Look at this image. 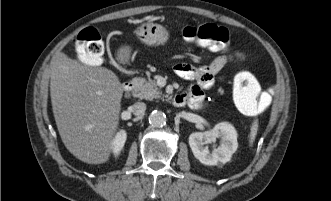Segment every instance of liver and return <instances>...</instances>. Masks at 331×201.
<instances>
[{"label":"liver","instance_id":"liver-1","mask_svg":"<svg viewBox=\"0 0 331 201\" xmlns=\"http://www.w3.org/2000/svg\"><path fill=\"white\" fill-rule=\"evenodd\" d=\"M55 122L67 150L88 164L109 160L119 126L123 87L105 67H91L56 53L50 62Z\"/></svg>","mask_w":331,"mask_h":201}]
</instances>
